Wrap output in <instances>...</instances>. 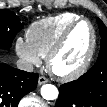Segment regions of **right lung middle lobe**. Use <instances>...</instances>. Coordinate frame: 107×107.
I'll return each mask as SVG.
<instances>
[{
	"instance_id": "right-lung-middle-lobe-1",
	"label": "right lung middle lobe",
	"mask_w": 107,
	"mask_h": 107,
	"mask_svg": "<svg viewBox=\"0 0 107 107\" xmlns=\"http://www.w3.org/2000/svg\"><path fill=\"white\" fill-rule=\"evenodd\" d=\"M23 28V23L11 11L0 10V48L9 49L16 34Z\"/></svg>"
}]
</instances>
